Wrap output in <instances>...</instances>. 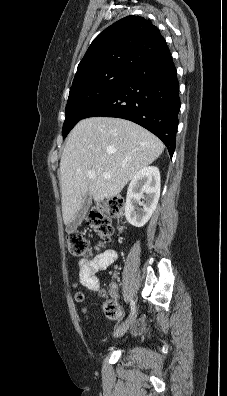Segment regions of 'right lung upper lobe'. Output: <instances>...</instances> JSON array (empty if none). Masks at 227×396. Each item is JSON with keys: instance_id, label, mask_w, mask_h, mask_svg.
Segmentation results:
<instances>
[{"instance_id": "cb5924a9", "label": "right lung upper lobe", "mask_w": 227, "mask_h": 396, "mask_svg": "<svg viewBox=\"0 0 227 396\" xmlns=\"http://www.w3.org/2000/svg\"><path fill=\"white\" fill-rule=\"evenodd\" d=\"M159 29L143 17L127 16L102 31L78 65L73 84L113 68L133 70L166 47Z\"/></svg>"}]
</instances>
